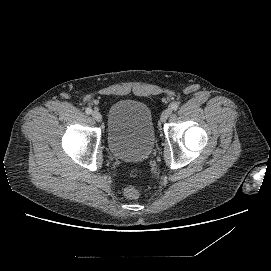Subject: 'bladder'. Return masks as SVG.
Segmentation results:
<instances>
[{"mask_svg": "<svg viewBox=\"0 0 271 271\" xmlns=\"http://www.w3.org/2000/svg\"><path fill=\"white\" fill-rule=\"evenodd\" d=\"M107 143L110 153L125 162L145 161L155 147L152 112L145 103L122 99L108 113Z\"/></svg>", "mask_w": 271, "mask_h": 271, "instance_id": "bladder-1", "label": "bladder"}]
</instances>
